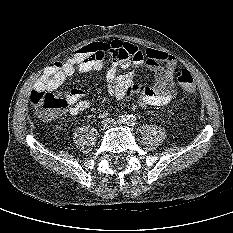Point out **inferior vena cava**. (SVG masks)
Returning <instances> with one entry per match:
<instances>
[{
	"label": "inferior vena cava",
	"instance_id": "602c4592",
	"mask_svg": "<svg viewBox=\"0 0 233 233\" xmlns=\"http://www.w3.org/2000/svg\"><path fill=\"white\" fill-rule=\"evenodd\" d=\"M111 121H113V120H111V119L108 118V119L103 120L102 123L107 128V127H109L108 123H110Z\"/></svg>",
	"mask_w": 233,
	"mask_h": 233
}]
</instances>
